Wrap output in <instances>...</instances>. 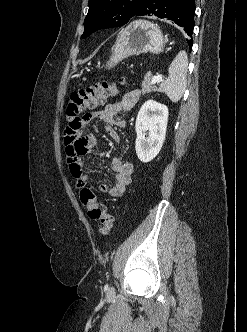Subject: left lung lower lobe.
I'll use <instances>...</instances> for the list:
<instances>
[{
	"label": "left lung lower lobe",
	"instance_id": "obj_1",
	"mask_svg": "<svg viewBox=\"0 0 247 332\" xmlns=\"http://www.w3.org/2000/svg\"><path fill=\"white\" fill-rule=\"evenodd\" d=\"M195 0H146L135 16H157L169 19L183 27L188 36L192 37L194 29ZM189 48L192 39H187Z\"/></svg>",
	"mask_w": 247,
	"mask_h": 332
}]
</instances>
